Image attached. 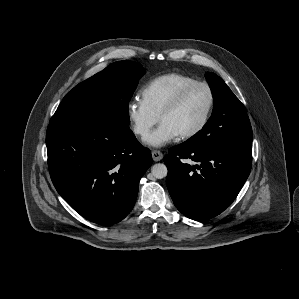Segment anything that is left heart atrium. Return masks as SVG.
Listing matches in <instances>:
<instances>
[{"label":"left heart atrium","instance_id":"39dd6f15","mask_svg":"<svg viewBox=\"0 0 299 299\" xmlns=\"http://www.w3.org/2000/svg\"><path fill=\"white\" fill-rule=\"evenodd\" d=\"M179 137L178 132L167 123L161 122L145 139V143L153 147H162Z\"/></svg>","mask_w":299,"mask_h":299}]
</instances>
